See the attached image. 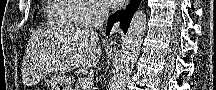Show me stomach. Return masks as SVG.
<instances>
[{"label":"stomach","instance_id":"obj_1","mask_svg":"<svg viewBox=\"0 0 216 90\" xmlns=\"http://www.w3.org/2000/svg\"><path fill=\"white\" fill-rule=\"evenodd\" d=\"M51 84L54 90H72L70 79L62 73H54L51 77Z\"/></svg>","mask_w":216,"mask_h":90}]
</instances>
